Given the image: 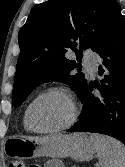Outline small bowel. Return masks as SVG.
I'll return each instance as SVG.
<instances>
[{
	"label": "small bowel",
	"instance_id": "1",
	"mask_svg": "<svg viewBox=\"0 0 125 167\" xmlns=\"http://www.w3.org/2000/svg\"><path fill=\"white\" fill-rule=\"evenodd\" d=\"M58 162L55 160L48 161L43 167H58Z\"/></svg>",
	"mask_w": 125,
	"mask_h": 167
}]
</instances>
